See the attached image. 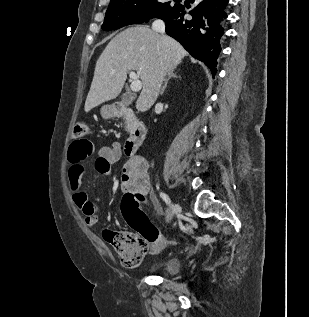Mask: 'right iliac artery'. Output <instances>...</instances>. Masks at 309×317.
<instances>
[{
    "mask_svg": "<svg viewBox=\"0 0 309 317\" xmlns=\"http://www.w3.org/2000/svg\"><path fill=\"white\" fill-rule=\"evenodd\" d=\"M160 197L166 202L167 205L170 204V198L168 197L167 194L160 192Z\"/></svg>",
    "mask_w": 309,
    "mask_h": 317,
    "instance_id": "right-iliac-artery-1",
    "label": "right iliac artery"
}]
</instances>
